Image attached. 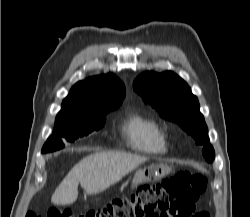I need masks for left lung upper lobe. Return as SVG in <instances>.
<instances>
[{
	"label": "left lung upper lobe",
	"instance_id": "obj_1",
	"mask_svg": "<svg viewBox=\"0 0 250 217\" xmlns=\"http://www.w3.org/2000/svg\"><path fill=\"white\" fill-rule=\"evenodd\" d=\"M133 88L161 117L178 123L193 136L196 144L203 145L202 153L208 162L214 160V149L198 99L182 78L170 71L145 72L134 81Z\"/></svg>",
	"mask_w": 250,
	"mask_h": 217
}]
</instances>
